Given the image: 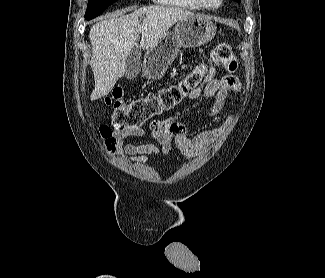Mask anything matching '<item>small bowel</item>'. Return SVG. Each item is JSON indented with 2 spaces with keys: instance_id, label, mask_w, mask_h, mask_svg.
I'll list each match as a JSON object with an SVG mask.
<instances>
[{
  "instance_id": "obj_1",
  "label": "small bowel",
  "mask_w": 325,
  "mask_h": 278,
  "mask_svg": "<svg viewBox=\"0 0 325 278\" xmlns=\"http://www.w3.org/2000/svg\"><path fill=\"white\" fill-rule=\"evenodd\" d=\"M182 68L186 69L187 65ZM240 90L241 83L237 77L224 76L217 78L214 67L209 65L203 84L193 90L188 99L193 101L201 95L213 98L214 102L206 116L207 119H213L223 109L228 94H238ZM229 121L230 119L223 125L190 135L181 119L166 118L153 121L149 128L116 131L113 134V140L118 145V154L127 156L132 163H149L151 162L150 155H165L172 144H175L178 150L187 158H191L195 154L206 150L210 142L220 134L224 125ZM141 136L152 137L158 142V145L153 143H127L123 145L125 139Z\"/></svg>"
}]
</instances>
